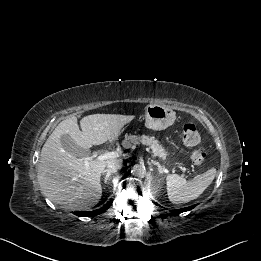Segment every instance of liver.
Here are the masks:
<instances>
[{"mask_svg": "<svg viewBox=\"0 0 261 261\" xmlns=\"http://www.w3.org/2000/svg\"><path fill=\"white\" fill-rule=\"evenodd\" d=\"M133 116L93 114L80 121L75 116L63 120L42 147L38 179L43 194L68 209H82L99 202L102 196L100 177L111 160H91L85 169L83 156L77 157L62 147V135H69L82 149L113 140Z\"/></svg>", "mask_w": 261, "mask_h": 261, "instance_id": "liver-1", "label": "liver"}]
</instances>
